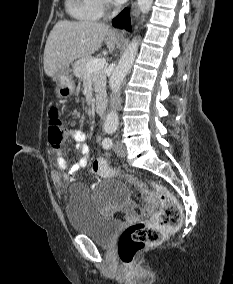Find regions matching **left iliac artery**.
<instances>
[{"label":"left iliac artery","instance_id":"obj_1","mask_svg":"<svg viewBox=\"0 0 233 284\" xmlns=\"http://www.w3.org/2000/svg\"><path fill=\"white\" fill-rule=\"evenodd\" d=\"M114 131L113 130H110L108 131L109 134H112ZM103 144V147L106 148V149H110L113 145V142H112V139L110 138H105L102 142Z\"/></svg>","mask_w":233,"mask_h":284}]
</instances>
